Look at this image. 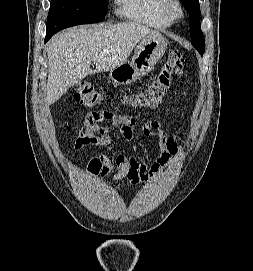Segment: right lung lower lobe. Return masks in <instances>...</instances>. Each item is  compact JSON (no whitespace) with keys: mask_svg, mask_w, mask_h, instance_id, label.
<instances>
[{"mask_svg":"<svg viewBox=\"0 0 253 271\" xmlns=\"http://www.w3.org/2000/svg\"><path fill=\"white\" fill-rule=\"evenodd\" d=\"M51 37H52V35H46L45 42H47Z\"/></svg>","mask_w":253,"mask_h":271,"instance_id":"right-lung-lower-lobe-1","label":"right lung lower lobe"}]
</instances>
